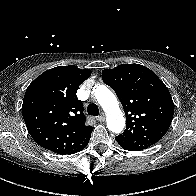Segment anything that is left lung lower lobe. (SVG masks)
<instances>
[{"label":"left lung lower lobe","mask_w":196,"mask_h":196,"mask_svg":"<svg viewBox=\"0 0 196 196\" xmlns=\"http://www.w3.org/2000/svg\"><path fill=\"white\" fill-rule=\"evenodd\" d=\"M123 149L125 150H129V151H135L134 149H132L131 147L125 145V144H122V143H118Z\"/></svg>","instance_id":"0a47b994"}]
</instances>
